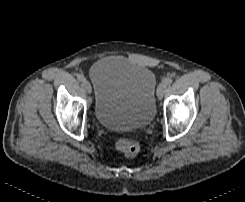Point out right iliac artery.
<instances>
[{
	"label": "right iliac artery",
	"instance_id": "82829eb1",
	"mask_svg": "<svg viewBox=\"0 0 245 202\" xmlns=\"http://www.w3.org/2000/svg\"><path fill=\"white\" fill-rule=\"evenodd\" d=\"M77 79H78L79 81H83L85 78H84L83 75L79 74V75H77Z\"/></svg>",
	"mask_w": 245,
	"mask_h": 202
}]
</instances>
